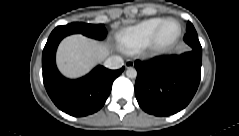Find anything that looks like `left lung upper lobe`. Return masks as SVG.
<instances>
[{"mask_svg":"<svg viewBox=\"0 0 239 136\" xmlns=\"http://www.w3.org/2000/svg\"><path fill=\"white\" fill-rule=\"evenodd\" d=\"M184 41L191 47L192 50L202 52V47L199 42L197 32L191 22L187 23Z\"/></svg>","mask_w":239,"mask_h":136,"instance_id":"1","label":"left lung upper lobe"}]
</instances>
